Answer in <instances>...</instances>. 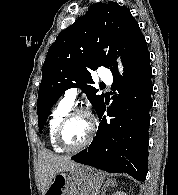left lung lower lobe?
I'll list each match as a JSON object with an SVG mask.
<instances>
[{
  "mask_svg": "<svg viewBox=\"0 0 178 195\" xmlns=\"http://www.w3.org/2000/svg\"><path fill=\"white\" fill-rule=\"evenodd\" d=\"M152 68L145 52L132 61L123 76H114V96L106 111L105 102L97 112L100 120L96 137L88 148L71 157L76 162L110 173L125 172L144 181L148 168V144L152 107Z\"/></svg>",
  "mask_w": 178,
  "mask_h": 195,
  "instance_id": "obj_1",
  "label": "left lung lower lobe"
}]
</instances>
